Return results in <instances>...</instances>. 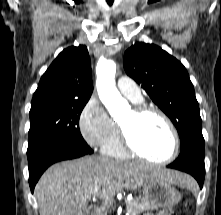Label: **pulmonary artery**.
<instances>
[{"instance_id": "pulmonary-artery-1", "label": "pulmonary artery", "mask_w": 221, "mask_h": 215, "mask_svg": "<svg viewBox=\"0 0 221 215\" xmlns=\"http://www.w3.org/2000/svg\"><path fill=\"white\" fill-rule=\"evenodd\" d=\"M117 86L120 93L132 102L137 103L142 101L140 89L130 78L120 77L118 79Z\"/></svg>"}]
</instances>
